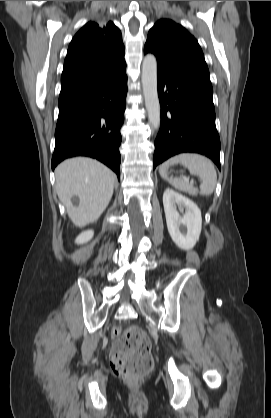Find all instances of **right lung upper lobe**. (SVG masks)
Returning <instances> with one entry per match:
<instances>
[{
    "mask_svg": "<svg viewBox=\"0 0 271 418\" xmlns=\"http://www.w3.org/2000/svg\"><path fill=\"white\" fill-rule=\"evenodd\" d=\"M125 66L120 30L112 22H88L69 45L58 103L93 90Z\"/></svg>",
    "mask_w": 271,
    "mask_h": 418,
    "instance_id": "obj_1",
    "label": "right lung upper lobe"
}]
</instances>
